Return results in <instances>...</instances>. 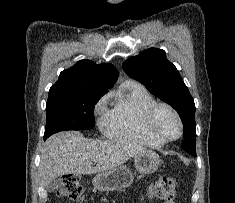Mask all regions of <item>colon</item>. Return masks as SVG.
Listing matches in <instances>:
<instances>
[{"label":"colon","instance_id":"5ec220e1","mask_svg":"<svg viewBox=\"0 0 235 203\" xmlns=\"http://www.w3.org/2000/svg\"><path fill=\"white\" fill-rule=\"evenodd\" d=\"M176 187V179L162 176L151 184L148 195L164 203H170L176 195ZM56 194L74 201H80L84 196V190L76 175H65L62 183L56 189Z\"/></svg>","mask_w":235,"mask_h":203}]
</instances>
